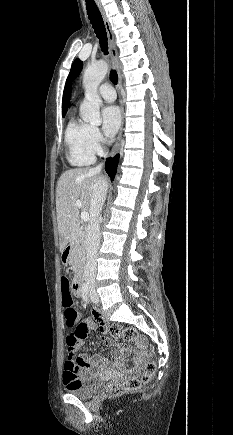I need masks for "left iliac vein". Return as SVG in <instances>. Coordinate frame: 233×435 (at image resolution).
<instances>
[{
  "label": "left iliac vein",
  "mask_w": 233,
  "mask_h": 435,
  "mask_svg": "<svg viewBox=\"0 0 233 435\" xmlns=\"http://www.w3.org/2000/svg\"><path fill=\"white\" fill-rule=\"evenodd\" d=\"M90 299L93 303H98L99 302V296L98 294L94 291L93 288H91V292H90Z\"/></svg>",
  "instance_id": "left-iliac-vein-1"
}]
</instances>
